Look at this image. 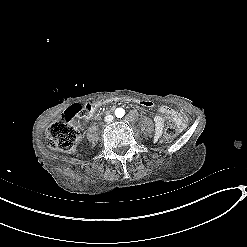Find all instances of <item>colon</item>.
Wrapping results in <instances>:
<instances>
[{"instance_id":"colon-1","label":"colon","mask_w":247,"mask_h":247,"mask_svg":"<svg viewBox=\"0 0 247 247\" xmlns=\"http://www.w3.org/2000/svg\"><path fill=\"white\" fill-rule=\"evenodd\" d=\"M140 104L143 107L154 108V101L142 99ZM89 104H75L64 111L63 116L51 124L46 131V145L48 148L64 153L75 151L79 138V128L87 121L90 112ZM177 127L169 122L165 128L164 138L172 140L177 136Z\"/></svg>"}]
</instances>
